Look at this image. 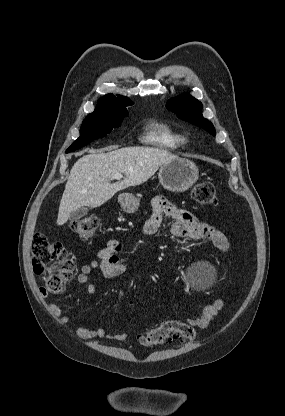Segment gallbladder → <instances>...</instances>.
<instances>
[{
    "label": "gallbladder",
    "instance_id": "1",
    "mask_svg": "<svg viewBox=\"0 0 285 416\" xmlns=\"http://www.w3.org/2000/svg\"><path fill=\"white\" fill-rule=\"evenodd\" d=\"M87 214L88 208H79V210H75V212L70 214L69 220H71V222H77V220H80V218H83V216H87Z\"/></svg>",
    "mask_w": 285,
    "mask_h": 416
}]
</instances>
